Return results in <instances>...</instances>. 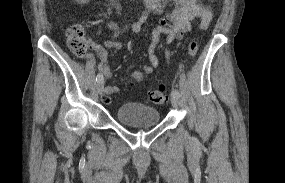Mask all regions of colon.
<instances>
[{
	"label": "colon",
	"instance_id": "colon-1",
	"mask_svg": "<svg viewBox=\"0 0 285 183\" xmlns=\"http://www.w3.org/2000/svg\"><path fill=\"white\" fill-rule=\"evenodd\" d=\"M68 47L71 52L79 57L86 55L88 42L85 37L84 28L75 24L67 29ZM199 45L196 41H191L187 47V53L190 57H195L198 53ZM149 100L154 104H165L168 101V95L164 89L153 90L149 94Z\"/></svg>",
	"mask_w": 285,
	"mask_h": 183
}]
</instances>
